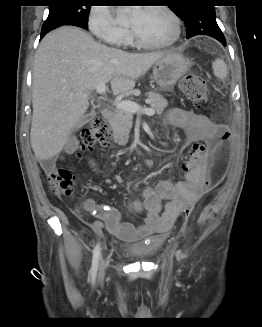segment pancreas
I'll return each mask as SVG.
<instances>
[{"label":"pancreas","instance_id":"cf45deb5","mask_svg":"<svg viewBox=\"0 0 262 327\" xmlns=\"http://www.w3.org/2000/svg\"><path fill=\"white\" fill-rule=\"evenodd\" d=\"M149 105L156 114L163 113L167 107V100L160 94L155 92L148 93ZM133 115L130 112L116 108L113 117L110 120V127L113 131V138L119 145H126L129 139V133L132 128Z\"/></svg>","mask_w":262,"mask_h":327}]
</instances>
